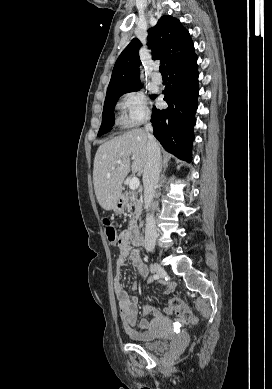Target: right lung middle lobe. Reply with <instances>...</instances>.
<instances>
[{
  "mask_svg": "<svg viewBox=\"0 0 272 389\" xmlns=\"http://www.w3.org/2000/svg\"><path fill=\"white\" fill-rule=\"evenodd\" d=\"M142 85H137L128 89L116 91L110 94L106 95L105 102H104V109H103V114H102V124L100 127V130L98 132V136H101L105 133H107L111 127L114 124V107L116 106V102L120 96L127 92H132V91H138L140 90ZM154 98V96H153Z\"/></svg>",
  "mask_w": 272,
  "mask_h": 389,
  "instance_id": "obj_1",
  "label": "right lung middle lobe"
}]
</instances>
